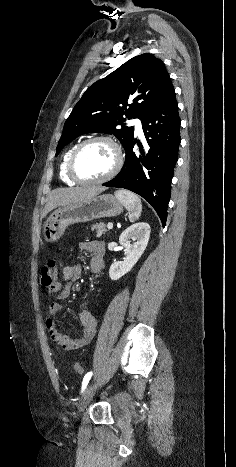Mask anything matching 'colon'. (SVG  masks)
Returning a JSON list of instances; mask_svg holds the SVG:
<instances>
[{
    "instance_id": "1",
    "label": "colon",
    "mask_w": 236,
    "mask_h": 467,
    "mask_svg": "<svg viewBox=\"0 0 236 467\" xmlns=\"http://www.w3.org/2000/svg\"><path fill=\"white\" fill-rule=\"evenodd\" d=\"M59 264L56 260L50 259L41 268V283L46 289H51L57 282ZM74 370L78 374H82L84 369L78 362L74 364Z\"/></svg>"
}]
</instances>
